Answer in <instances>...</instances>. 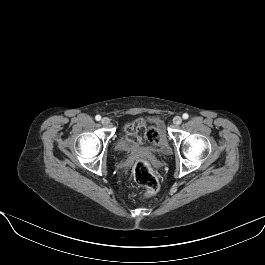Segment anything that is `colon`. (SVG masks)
Instances as JSON below:
<instances>
[{"instance_id": "1", "label": "colon", "mask_w": 265, "mask_h": 265, "mask_svg": "<svg viewBox=\"0 0 265 265\" xmlns=\"http://www.w3.org/2000/svg\"><path fill=\"white\" fill-rule=\"evenodd\" d=\"M135 126L138 133L151 144L160 145L162 143L161 133L156 126H145L141 122H137ZM133 173L136 182L144 186L149 193L153 194L158 191L159 182L146 160L139 159L134 165Z\"/></svg>"}]
</instances>
